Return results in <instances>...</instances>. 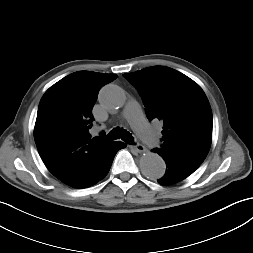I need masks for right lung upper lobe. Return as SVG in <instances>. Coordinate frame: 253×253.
Returning a JSON list of instances; mask_svg holds the SVG:
<instances>
[{"label":"right lung upper lobe","mask_w":253,"mask_h":253,"mask_svg":"<svg viewBox=\"0 0 253 253\" xmlns=\"http://www.w3.org/2000/svg\"><path fill=\"white\" fill-rule=\"evenodd\" d=\"M116 78L78 71L51 86L40 101L34 128L38 152L49 171L71 187H88L101 173L108 143L102 136L90 138L92 108L101 87Z\"/></svg>","instance_id":"obj_1"}]
</instances>
